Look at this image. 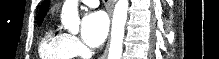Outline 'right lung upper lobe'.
<instances>
[{
  "label": "right lung upper lobe",
  "instance_id": "cb5924a9",
  "mask_svg": "<svg viewBox=\"0 0 219 59\" xmlns=\"http://www.w3.org/2000/svg\"><path fill=\"white\" fill-rule=\"evenodd\" d=\"M49 0H45L38 14L37 22L41 24L48 10Z\"/></svg>",
  "mask_w": 219,
  "mask_h": 59
}]
</instances>
